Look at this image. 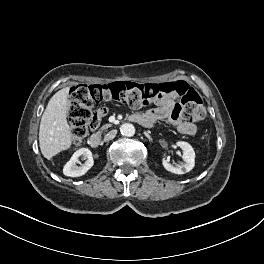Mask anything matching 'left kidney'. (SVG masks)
I'll list each match as a JSON object with an SVG mask.
<instances>
[{
    "mask_svg": "<svg viewBox=\"0 0 264 264\" xmlns=\"http://www.w3.org/2000/svg\"><path fill=\"white\" fill-rule=\"evenodd\" d=\"M177 145L182 149L183 151V160L184 163L173 166L171 165L167 160L163 159V166L166 170L175 173V174H184L186 172H189L193 169L195 165V152L192 146L184 141L177 142Z\"/></svg>",
    "mask_w": 264,
    "mask_h": 264,
    "instance_id": "1",
    "label": "left kidney"
}]
</instances>
